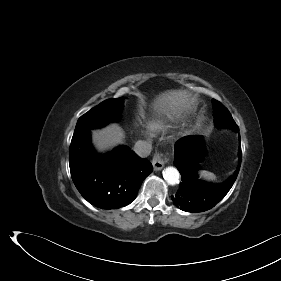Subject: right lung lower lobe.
I'll return each instance as SVG.
<instances>
[{
    "label": "right lung lower lobe",
    "mask_w": 281,
    "mask_h": 281,
    "mask_svg": "<svg viewBox=\"0 0 281 281\" xmlns=\"http://www.w3.org/2000/svg\"><path fill=\"white\" fill-rule=\"evenodd\" d=\"M72 180L89 203L101 209L130 204L153 167L127 146L109 154H97L90 142V130L73 135L70 145Z\"/></svg>",
    "instance_id": "right-lung-lower-lobe-1"
}]
</instances>
